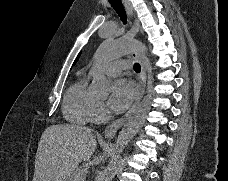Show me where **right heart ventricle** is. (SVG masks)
<instances>
[{
    "label": "right heart ventricle",
    "instance_id": "e07e8e85",
    "mask_svg": "<svg viewBox=\"0 0 228 181\" xmlns=\"http://www.w3.org/2000/svg\"><path fill=\"white\" fill-rule=\"evenodd\" d=\"M93 69L79 71L75 81L65 96L64 114L72 122H87L92 118L97 98L92 91V78H96Z\"/></svg>",
    "mask_w": 228,
    "mask_h": 181
}]
</instances>
